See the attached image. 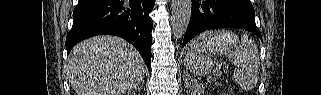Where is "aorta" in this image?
I'll return each instance as SVG.
<instances>
[{"label":"aorta","instance_id":"1","mask_svg":"<svg viewBox=\"0 0 321 95\" xmlns=\"http://www.w3.org/2000/svg\"><path fill=\"white\" fill-rule=\"evenodd\" d=\"M172 30L175 38L181 39L188 28L192 0H172Z\"/></svg>","mask_w":321,"mask_h":95}]
</instances>
